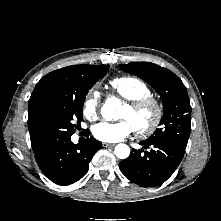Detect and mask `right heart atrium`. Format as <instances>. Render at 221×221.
Wrapping results in <instances>:
<instances>
[{
    "label": "right heart atrium",
    "instance_id": "d8ad5b80",
    "mask_svg": "<svg viewBox=\"0 0 221 221\" xmlns=\"http://www.w3.org/2000/svg\"><path fill=\"white\" fill-rule=\"evenodd\" d=\"M101 103V94L96 88H92L85 96L82 113L83 116L92 121L95 120L98 116Z\"/></svg>",
    "mask_w": 221,
    "mask_h": 221
}]
</instances>
